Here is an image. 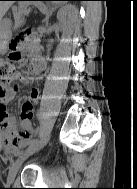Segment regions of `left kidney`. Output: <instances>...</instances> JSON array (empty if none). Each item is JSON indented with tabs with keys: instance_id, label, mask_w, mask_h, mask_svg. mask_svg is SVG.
<instances>
[{
	"instance_id": "obj_1",
	"label": "left kidney",
	"mask_w": 137,
	"mask_h": 189,
	"mask_svg": "<svg viewBox=\"0 0 137 189\" xmlns=\"http://www.w3.org/2000/svg\"><path fill=\"white\" fill-rule=\"evenodd\" d=\"M74 8L72 6H65L61 8L57 13V18L60 20L62 24V29H65L67 26L71 24L74 19Z\"/></svg>"
}]
</instances>
